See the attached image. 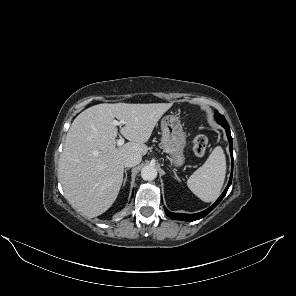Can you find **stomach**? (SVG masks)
Listing matches in <instances>:
<instances>
[{
    "mask_svg": "<svg viewBox=\"0 0 296 296\" xmlns=\"http://www.w3.org/2000/svg\"><path fill=\"white\" fill-rule=\"evenodd\" d=\"M162 138L161 146L174 166H182L185 161L184 147L186 146L185 134L180 120L175 115H167L161 120Z\"/></svg>",
    "mask_w": 296,
    "mask_h": 296,
    "instance_id": "stomach-1",
    "label": "stomach"
}]
</instances>
